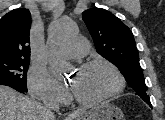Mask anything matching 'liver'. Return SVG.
Segmentation results:
<instances>
[{
    "mask_svg": "<svg viewBox=\"0 0 165 120\" xmlns=\"http://www.w3.org/2000/svg\"><path fill=\"white\" fill-rule=\"evenodd\" d=\"M43 111L40 102L0 85V120H43ZM83 111L84 109L74 111L66 120H73Z\"/></svg>",
    "mask_w": 165,
    "mask_h": 120,
    "instance_id": "liver-1",
    "label": "liver"
}]
</instances>
